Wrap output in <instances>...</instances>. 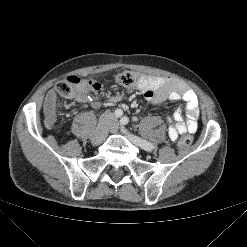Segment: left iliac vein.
<instances>
[{"label":"left iliac vein","mask_w":247,"mask_h":247,"mask_svg":"<svg viewBox=\"0 0 247 247\" xmlns=\"http://www.w3.org/2000/svg\"><path fill=\"white\" fill-rule=\"evenodd\" d=\"M110 132L111 133H117L118 132V124L115 121L111 126H110ZM123 135H125V137L130 140L132 143L138 145L137 141L135 140V138L127 131H122Z\"/></svg>","instance_id":"1"}]
</instances>
